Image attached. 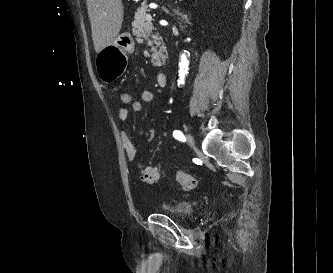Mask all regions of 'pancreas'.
<instances>
[{
	"mask_svg": "<svg viewBox=\"0 0 333 273\" xmlns=\"http://www.w3.org/2000/svg\"><path fill=\"white\" fill-rule=\"evenodd\" d=\"M147 5L142 4L141 7L137 9L134 16V21L132 22V32L137 36L138 40L142 41V38L147 41V45L151 46L152 63L154 66H161L165 62L166 47L162 42V38L158 35H153V40H149L150 33L153 29L151 23L145 22L146 20ZM159 46V49L157 47Z\"/></svg>",
	"mask_w": 333,
	"mask_h": 273,
	"instance_id": "cf45deb5",
	"label": "pancreas"
}]
</instances>
